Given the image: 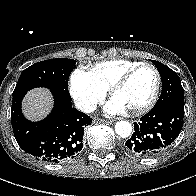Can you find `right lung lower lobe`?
<instances>
[{"mask_svg":"<svg viewBox=\"0 0 196 196\" xmlns=\"http://www.w3.org/2000/svg\"><path fill=\"white\" fill-rule=\"evenodd\" d=\"M55 104L52 112L39 122L22 114L26 93L13 97L11 122L19 146L36 159L57 163L75 157L83 147L84 128L92 123L86 114L72 107L71 98L51 90Z\"/></svg>","mask_w":196,"mask_h":196,"instance_id":"98d812e1","label":"right lung lower lobe"}]
</instances>
